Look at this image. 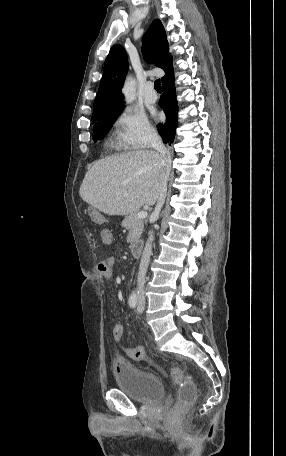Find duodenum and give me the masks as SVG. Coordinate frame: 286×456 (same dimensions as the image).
Listing matches in <instances>:
<instances>
[{"label":"duodenum","instance_id":"obj_1","mask_svg":"<svg viewBox=\"0 0 286 456\" xmlns=\"http://www.w3.org/2000/svg\"><path fill=\"white\" fill-rule=\"evenodd\" d=\"M142 252V243L141 242H135L131 246V253L133 256H139Z\"/></svg>","mask_w":286,"mask_h":456}]
</instances>
